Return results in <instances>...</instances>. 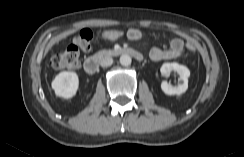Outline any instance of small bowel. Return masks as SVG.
Here are the masks:
<instances>
[{
  "instance_id": "c3829d8e",
  "label": "small bowel",
  "mask_w": 244,
  "mask_h": 157,
  "mask_svg": "<svg viewBox=\"0 0 244 157\" xmlns=\"http://www.w3.org/2000/svg\"><path fill=\"white\" fill-rule=\"evenodd\" d=\"M126 36L131 41H137L142 38V32L139 29H129ZM185 50L184 42L180 38H173L168 49L152 48L149 57L152 61L170 60L180 57Z\"/></svg>"
}]
</instances>
